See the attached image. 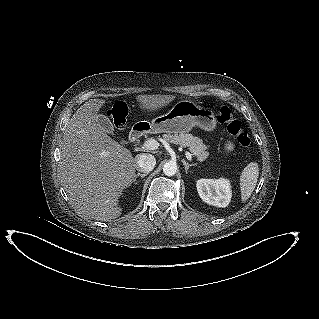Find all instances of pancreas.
Instances as JSON below:
<instances>
[{
    "mask_svg": "<svg viewBox=\"0 0 319 319\" xmlns=\"http://www.w3.org/2000/svg\"><path fill=\"white\" fill-rule=\"evenodd\" d=\"M163 138L166 141L180 145L181 147H188L200 162L206 160L209 156V152L207 151L208 147L203 143L202 139L195 137L192 134H165L163 135Z\"/></svg>",
    "mask_w": 319,
    "mask_h": 319,
    "instance_id": "1",
    "label": "pancreas"
}]
</instances>
